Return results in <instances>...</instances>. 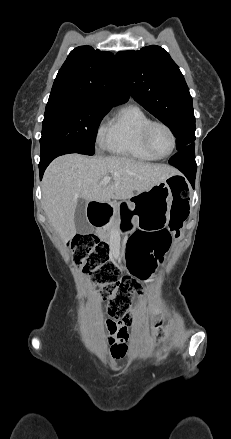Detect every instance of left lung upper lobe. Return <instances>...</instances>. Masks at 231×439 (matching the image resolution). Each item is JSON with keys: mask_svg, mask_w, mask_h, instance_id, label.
Here are the masks:
<instances>
[{"mask_svg": "<svg viewBox=\"0 0 231 439\" xmlns=\"http://www.w3.org/2000/svg\"><path fill=\"white\" fill-rule=\"evenodd\" d=\"M122 78L131 96L167 125L177 150L195 140L192 97L179 67L156 45L116 54Z\"/></svg>", "mask_w": 231, "mask_h": 439, "instance_id": "5c2ea615", "label": "left lung upper lobe"}]
</instances>
